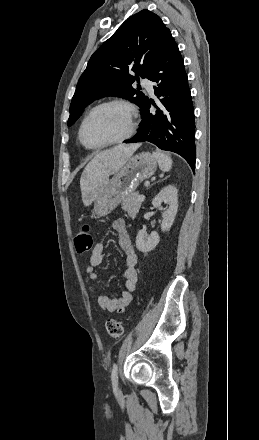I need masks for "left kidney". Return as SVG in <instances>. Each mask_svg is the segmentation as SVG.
Wrapping results in <instances>:
<instances>
[{"label": "left kidney", "mask_w": 259, "mask_h": 440, "mask_svg": "<svg viewBox=\"0 0 259 440\" xmlns=\"http://www.w3.org/2000/svg\"><path fill=\"white\" fill-rule=\"evenodd\" d=\"M163 202L167 204V208L162 214L161 224V230L165 232L173 225L178 210V190L174 186L168 185L162 188L154 197L152 205L158 208ZM159 241L158 233L152 232L148 235L145 231L140 230L136 236V248L143 253H148L158 245Z\"/></svg>", "instance_id": "1"}]
</instances>
